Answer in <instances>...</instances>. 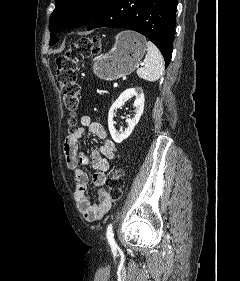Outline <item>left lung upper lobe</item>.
I'll return each instance as SVG.
<instances>
[{"label": "left lung upper lobe", "instance_id": "obj_1", "mask_svg": "<svg viewBox=\"0 0 240 281\" xmlns=\"http://www.w3.org/2000/svg\"><path fill=\"white\" fill-rule=\"evenodd\" d=\"M108 0H55V9L50 17L49 29L59 32L61 28H77L89 24ZM51 34L50 44L57 42Z\"/></svg>", "mask_w": 240, "mask_h": 281}]
</instances>
